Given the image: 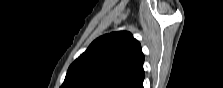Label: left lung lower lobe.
<instances>
[{
	"mask_svg": "<svg viewBox=\"0 0 223 88\" xmlns=\"http://www.w3.org/2000/svg\"><path fill=\"white\" fill-rule=\"evenodd\" d=\"M139 88H143V85H141Z\"/></svg>",
	"mask_w": 223,
	"mask_h": 88,
	"instance_id": "left-lung-lower-lobe-1",
	"label": "left lung lower lobe"
}]
</instances>
